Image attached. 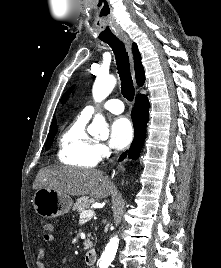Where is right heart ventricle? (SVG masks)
Listing matches in <instances>:
<instances>
[{
  "mask_svg": "<svg viewBox=\"0 0 221 268\" xmlns=\"http://www.w3.org/2000/svg\"><path fill=\"white\" fill-rule=\"evenodd\" d=\"M88 117L82 113L65 129L58 143V160L80 168L97 165L99 155L97 142L86 132Z\"/></svg>",
  "mask_w": 221,
  "mask_h": 268,
  "instance_id": "right-heart-ventricle-1",
  "label": "right heart ventricle"
}]
</instances>
